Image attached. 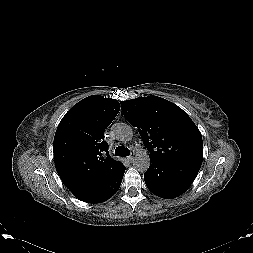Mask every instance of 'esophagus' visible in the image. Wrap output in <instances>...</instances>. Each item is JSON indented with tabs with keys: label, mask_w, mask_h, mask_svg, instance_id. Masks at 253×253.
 I'll list each match as a JSON object with an SVG mask.
<instances>
[{
	"label": "esophagus",
	"mask_w": 253,
	"mask_h": 253,
	"mask_svg": "<svg viewBox=\"0 0 253 253\" xmlns=\"http://www.w3.org/2000/svg\"><path fill=\"white\" fill-rule=\"evenodd\" d=\"M127 160H128L129 162H132V161L134 160V154L131 155V156H129V157L127 158Z\"/></svg>",
	"instance_id": "34e87169"
}]
</instances>
